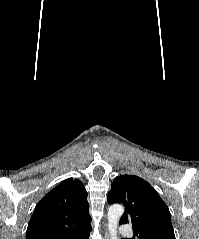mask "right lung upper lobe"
Masks as SVG:
<instances>
[{
  "mask_svg": "<svg viewBox=\"0 0 199 239\" xmlns=\"http://www.w3.org/2000/svg\"><path fill=\"white\" fill-rule=\"evenodd\" d=\"M87 192L80 180L68 178L36 205L26 239H65L91 226Z\"/></svg>",
  "mask_w": 199,
  "mask_h": 239,
  "instance_id": "cb5924a9",
  "label": "right lung upper lobe"
}]
</instances>
